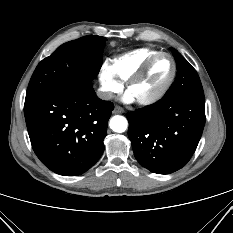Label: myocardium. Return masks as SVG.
I'll use <instances>...</instances> for the list:
<instances>
[{
    "instance_id": "1",
    "label": "myocardium",
    "mask_w": 233,
    "mask_h": 233,
    "mask_svg": "<svg viewBox=\"0 0 233 233\" xmlns=\"http://www.w3.org/2000/svg\"><path fill=\"white\" fill-rule=\"evenodd\" d=\"M161 57H167L171 61L172 73L170 77L168 78V80L156 92H154L148 97L136 99L137 103H139L140 105H150V104L157 102L170 89L177 74V65H176L174 58L169 53L159 52L155 54L154 56H152L148 61H146L145 64L126 81V90L129 91V89L133 85H135L137 82L144 79V77L148 74L153 64Z\"/></svg>"
}]
</instances>
